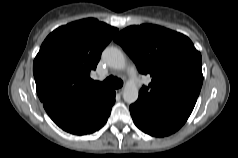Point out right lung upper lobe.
I'll return each instance as SVG.
<instances>
[{
	"label": "right lung upper lobe",
	"mask_w": 238,
	"mask_h": 158,
	"mask_svg": "<svg viewBox=\"0 0 238 158\" xmlns=\"http://www.w3.org/2000/svg\"><path fill=\"white\" fill-rule=\"evenodd\" d=\"M117 32V28L87 18L50 33L33 63L40 100L106 95L110 89L96 86L90 72L96 69L103 49Z\"/></svg>",
	"instance_id": "1"
}]
</instances>
